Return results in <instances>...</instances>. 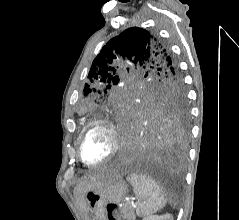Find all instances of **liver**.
<instances>
[{
  "label": "liver",
  "instance_id": "1",
  "mask_svg": "<svg viewBox=\"0 0 239 220\" xmlns=\"http://www.w3.org/2000/svg\"><path fill=\"white\" fill-rule=\"evenodd\" d=\"M121 175L122 173H119V171L114 170L106 172L105 174L85 178L83 181H81L75 188L76 199L81 210L86 211L85 195L88 191L94 188L102 187L112 179L120 178Z\"/></svg>",
  "mask_w": 239,
  "mask_h": 220
}]
</instances>
